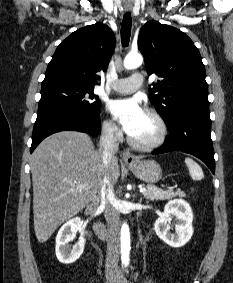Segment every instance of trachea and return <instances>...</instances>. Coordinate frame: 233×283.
Instances as JSON below:
<instances>
[{
	"mask_svg": "<svg viewBox=\"0 0 233 283\" xmlns=\"http://www.w3.org/2000/svg\"><path fill=\"white\" fill-rule=\"evenodd\" d=\"M131 14L129 12L125 13L121 25V42L123 47H127L130 41L131 35Z\"/></svg>",
	"mask_w": 233,
	"mask_h": 283,
	"instance_id": "obj_1",
	"label": "trachea"
}]
</instances>
